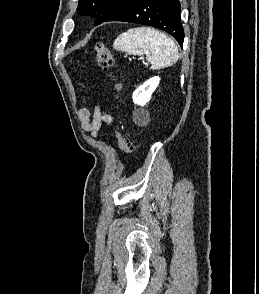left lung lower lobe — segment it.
<instances>
[{"label": "left lung lower lobe", "mask_w": 259, "mask_h": 294, "mask_svg": "<svg viewBox=\"0 0 259 294\" xmlns=\"http://www.w3.org/2000/svg\"><path fill=\"white\" fill-rule=\"evenodd\" d=\"M108 21L153 26L166 31L183 45L179 0H124L108 14L104 22Z\"/></svg>", "instance_id": "obj_1"}]
</instances>
